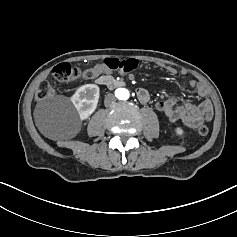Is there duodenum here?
Wrapping results in <instances>:
<instances>
[{"label":"duodenum","mask_w":237,"mask_h":237,"mask_svg":"<svg viewBox=\"0 0 237 237\" xmlns=\"http://www.w3.org/2000/svg\"><path fill=\"white\" fill-rule=\"evenodd\" d=\"M96 83L100 86L107 88H119L125 86V82L119 79H115L108 75H100L96 78Z\"/></svg>","instance_id":"410a0bca"}]
</instances>
